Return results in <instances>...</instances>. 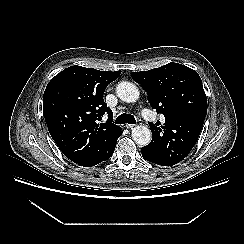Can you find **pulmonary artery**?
Segmentation results:
<instances>
[{
    "label": "pulmonary artery",
    "instance_id": "obj_1",
    "mask_svg": "<svg viewBox=\"0 0 244 244\" xmlns=\"http://www.w3.org/2000/svg\"><path fill=\"white\" fill-rule=\"evenodd\" d=\"M143 115H144V117L147 118V119H149L150 116H151L150 113H149V111H147V110H144V111H143Z\"/></svg>",
    "mask_w": 244,
    "mask_h": 244
}]
</instances>
